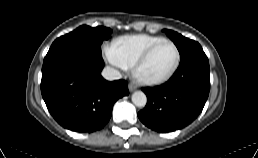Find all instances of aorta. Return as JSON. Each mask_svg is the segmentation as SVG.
Instances as JSON below:
<instances>
[{
    "label": "aorta",
    "mask_w": 258,
    "mask_h": 158,
    "mask_svg": "<svg viewBox=\"0 0 258 158\" xmlns=\"http://www.w3.org/2000/svg\"><path fill=\"white\" fill-rule=\"evenodd\" d=\"M132 102L137 107H145L147 103V97L144 92L142 91H135L132 94Z\"/></svg>",
    "instance_id": "762f6f07"
}]
</instances>
